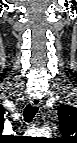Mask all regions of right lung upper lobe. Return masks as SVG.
<instances>
[{"instance_id":"right-lung-upper-lobe-1","label":"right lung upper lobe","mask_w":77,"mask_h":143,"mask_svg":"<svg viewBox=\"0 0 77 143\" xmlns=\"http://www.w3.org/2000/svg\"><path fill=\"white\" fill-rule=\"evenodd\" d=\"M0 112H1L0 119H1V123L3 124V121H4V119H3L4 109L0 108Z\"/></svg>"}]
</instances>
